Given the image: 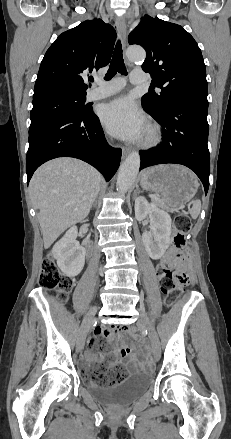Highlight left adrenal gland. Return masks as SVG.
Here are the masks:
<instances>
[{
    "label": "left adrenal gland",
    "mask_w": 231,
    "mask_h": 439,
    "mask_svg": "<svg viewBox=\"0 0 231 439\" xmlns=\"http://www.w3.org/2000/svg\"><path fill=\"white\" fill-rule=\"evenodd\" d=\"M136 191H137V192H140V190H139V189H137Z\"/></svg>",
    "instance_id": "a2214340"
}]
</instances>
